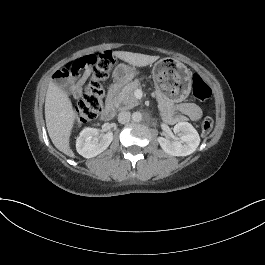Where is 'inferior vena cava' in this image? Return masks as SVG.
Returning <instances> with one entry per match:
<instances>
[{"label": "inferior vena cava", "instance_id": "1", "mask_svg": "<svg viewBox=\"0 0 265 265\" xmlns=\"http://www.w3.org/2000/svg\"><path fill=\"white\" fill-rule=\"evenodd\" d=\"M130 118H131V113L129 111H121L118 114V121L121 124L128 123L130 121Z\"/></svg>", "mask_w": 265, "mask_h": 265}]
</instances>
